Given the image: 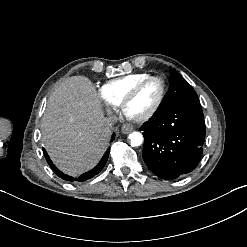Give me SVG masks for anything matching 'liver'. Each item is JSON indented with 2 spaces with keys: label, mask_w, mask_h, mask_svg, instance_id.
Masks as SVG:
<instances>
[{
  "label": "liver",
  "mask_w": 247,
  "mask_h": 247,
  "mask_svg": "<svg viewBox=\"0 0 247 247\" xmlns=\"http://www.w3.org/2000/svg\"><path fill=\"white\" fill-rule=\"evenodd\" d=\"M100 94L85 76H72L49 97L42 117L41 142L58 170L79 177L106 153L112 131Z\"/></svg>",
  "instance_id": "1"
}]
</instances>
